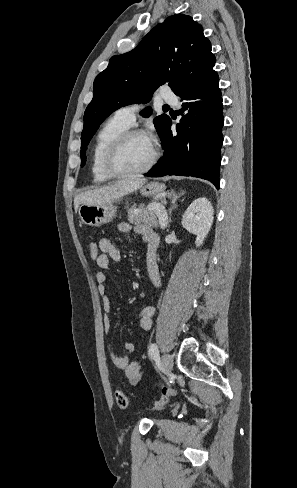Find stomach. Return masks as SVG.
Segmentation results:
<instances>
[{
	"instance_id": "stomach-1",
	"label": "stomach",
	"mask_w": 297,
	"mask_h": 488,
	"mask_svg": "<svg viewBox=\"0 0 297 488\" xmlns=\"http://www.w3.org/2000/svg\"><path fill=\"white\" fill-rule=\"evenodd\" d=\"M166 189L165 184L149 182L145 184L140 192L143 196L160 198ZM117 213V207L113 204L94 205L82 204L79 208V216L82 222L88 226H100L113 220Z\"/></svg>"
}]
</instances>
